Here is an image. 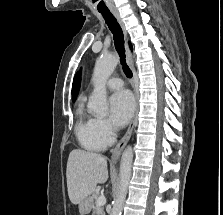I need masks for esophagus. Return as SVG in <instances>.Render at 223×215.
<instances>
[{
	"label": "esophagus",
	"mask_w": 223,
	"mask_h": 215,
	"mask_svg": "<svg viewBox=\"0 0 223 215\" xmlns=\"http://www.w3.org/2000/svg\"><path fill=\"white\" fill-rule=\"evenodd\" d=\"M111 12L113 13V15L116 17L121 29L123 30L125 39H126V43H125V49H126V61L127 64L134 69V64H133V57L132 54L130 52L129 46H128V42H127V33L124 27V23L118 13V11L116 9H111ZM138 102H139V94L136 91L135 93V108H134V113L132 116V119L130 121L129 127L127 129V132L125 133V135L122 137V139L119 141V143H117L116 147L113 150L112 156H111V162L112 163H116L123 148L125 147V145L127 144V142L129 141V139L131 138V134L133 131V127L135 125V121H136V117L138 114Z\"/></svg>",
	"instance_id": "1"
}]
</instances>
